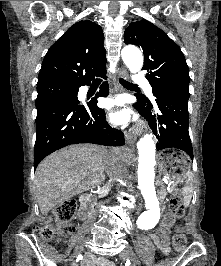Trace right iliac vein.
Masks as SVG:
<instances>
[{
  "label": "right iliac vein",
  "instance_id": "obj_1",
  "mask_svg": "<svg viewBox=\"0 0 221 266\" xmlns=\"http://www.w3.org/2000/svg\"><path fill=\"white\" fill-rule=\"evenodd\" d=\"M83 249H84L83 246L78 247V248L76 249V251H75V255H76V256L79 255V254L83 251Z\"/></svg>",
  "mask_w": 221,
  "mask_h": 266
}]
</instances>
